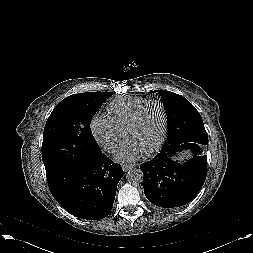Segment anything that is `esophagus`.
<instances>
[{"mask_svg":"<svg viewBox=\"0 0 253 253\" xmlns=\"http://www.w3.org/2000/svg\"><path fill=\"white\" fill-rule=\"evenodd\" d=\"M135 165L133 164H123L122 169L124 172H127L128 170L132 169Z\"/></svg>","mask_w":253,"mask_h":253,"instance_id":"34e87169","label":"esophagus"}]
</instances>
